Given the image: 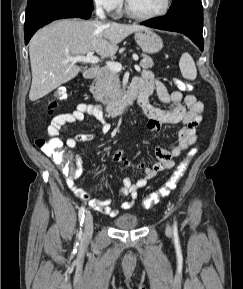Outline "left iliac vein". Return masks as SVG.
Wrapping results in <instances>:
<instances>
[{
  "label": "left iliac vein",
  "mask_w": 243,
  "mask_h": 289,
  "mask_svg": "<svg viewBox=\"0 0 243 289\" xmlns=\"http://www.w3.org/2000/svg\"><path fill=\"white\" fill-rule=\"evenodd\" d=\"M166 232H167V233H171V228H170L169 225H167V227H166Z\"/></svg>",
  "instance_id": "1"
}]
</instances>
